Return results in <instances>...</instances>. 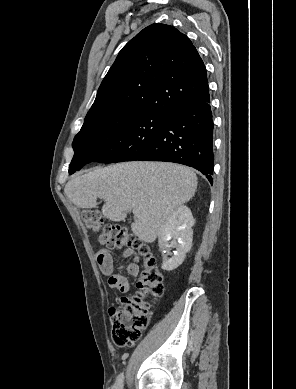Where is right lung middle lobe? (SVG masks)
<instances>
[{
    "mask_svg": "<svg viewBox=\"0 0 296 389\" xmlns=\"http://www.w3.org/2000/svg\"><path fill=\"white\" fill-rule=\"evenodd\" d=\"M166 115L117 109L85 119L73 141L69 173L89 162L134 161L168 121Z\"/></svg>",
    "mask_w": 296,
    "mask_h": 389,
    "instance_id": "1",
    "label": "right lung middle lobe"
}]
</instances>
